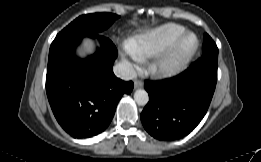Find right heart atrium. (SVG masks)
<instances>
[{"mask_svg": "<svg viewBox=\"0 0 261 162\" xmlns=\"http://www.w3.org/2000/svg\"><path fill=\"white\" fill-rule=\"evenodd\" d=\"M129 56L132 60V63H128L130 66H133L136 68L141 64L140 58L137 57L135 54H133L132 52H129Z\"/></svg>", "mask_w": 261, "mask_h": 162, "instance_id": "1", "label": "right heart atrium"}]
</instances>
